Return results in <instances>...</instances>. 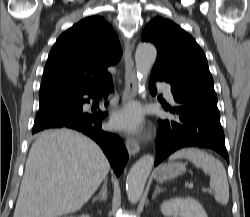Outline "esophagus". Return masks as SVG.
I'll return each instance as SVG.
<instances>
[{"label": "esophagus", "mask_w": 250, "mask_h": 217, "mask_svg": "<svg viewBox=\"0 0 250 217\" xmlns=\"http://www.w3.org/2000/svg\"><path fill=\"white\" fill-rule=\"evenodd\" d=\"M125 89L122 96V104L133 101L137 92V76L134 68V61L132 58V45L129 40H125ZM126 148L129 155H135L139 152L140 146L136 138L128 136L126 138Z\"/></svg>", "instance_id": "obj_1"}]
</instances>
